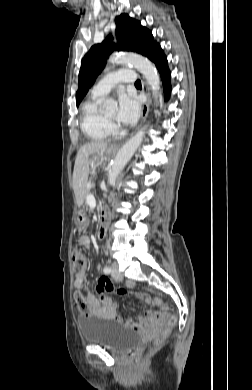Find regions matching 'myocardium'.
<instances>
[{"label": "myocardium", "mask_w": 252, "mask_h": 390, "mask_svg": "<svg viewBox=\"0 0 252 390\" xmlns=\"http://www.w3.org/2000/svg\"><path fill=\"white\" fill-rule=\"evenodd\" d=\"M105 118L108 121L109 125L115 126L114 119H111L108 116H105Z\"/></svg>", "instance_id": "1"}]
</instances>
